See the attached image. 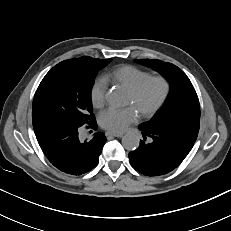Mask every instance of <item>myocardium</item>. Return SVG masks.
Listing matches in <instances>:
<instances>
[{
  "label": "myocardium",
  "mask_w": 231,
  "mask_h": 231,
  "mask_svg": "<svg viewBox=\"0 0 231 231\" xmlns=\"http://www.w3.org/2000/svg\"><path fill=\"white\" fill-rule=\"evenodd\" d=\"M151 81H160L163 84L164 90L160 99L151 108L140 113L142 118H149L153 116L164 105L171 92V83L165 76L149 75L136 84L133 88L128 90V93L133 97H137L145 86Z\"/></svg>",
  "instance_id": "myocardium-1"
}]
</instances>
